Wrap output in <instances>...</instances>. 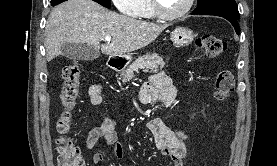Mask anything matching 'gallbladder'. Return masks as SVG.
Instances as JSON below:
<instances>
[{
	"instance_id": "gallbladder-1",
	"label": "gallbladder",
	"mask_w": 277,
	"mask_h": 166,
	"mask_svg": "<svg viewBox=\"0 0 277 166\" xmlns=\"http://www.w3.org/2000/svg\"><path fill=\"white\" fill-rule=\"evenodd\" d=\"M62 54L74 60H94L99 57V52L92 46L82 43H66L62 46Z\"/></svg>"
}]
</instances>
